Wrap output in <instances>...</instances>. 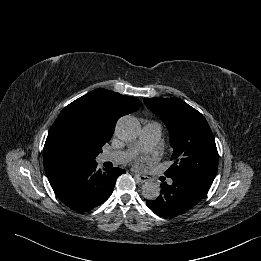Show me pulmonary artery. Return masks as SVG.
<instances>
[{
  "instance_id": "pulmonary-artery-1",
  "label": "pulmonary artery",
  "mask_w": 261,
  "mask_h": 261,
  "mask_svg": "<svg viewBox=\"0 0 261 261\" xmlns=\"http://www.w3.org/2000/svg\"><path fill=\"white\" fill-rule=\"evenodd\" d=\"M162 127L157 122H150L143 126L141 135L138 141L137 148H132L125 151H114L103 153L99 157L100 162H112L115 164H124L131 160L137 149L150 150L157 145L161 138ZM169 184L172 180L168 181Z\"/></svg>"
}]
</instances>
